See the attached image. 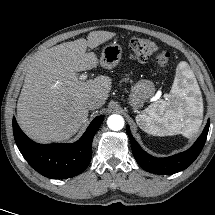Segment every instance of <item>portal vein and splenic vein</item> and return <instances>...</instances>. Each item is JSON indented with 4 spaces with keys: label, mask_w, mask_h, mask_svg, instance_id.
Returning a JSON list of instances; mask_svg holds the SVG:
<instances>
[{
    "label": "portal vein and splenic vein",
    "mask_w": 215,
    "mask_h": 215,
    "mask_svg": "<svg viewBox=\"0 0 215 215\" xmlns=\"http://www.w3.org/2000/svg\"><path fill=\"white\" fill-rule=\"evenodd\" d=\"M87 78V74L83 73L79 76V79L84 81Z\"/></svg>",
    "instance_id": "portal-vein-and-splenic-vein-1"
}]
</instances>
